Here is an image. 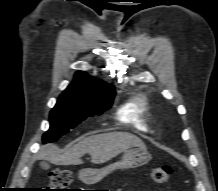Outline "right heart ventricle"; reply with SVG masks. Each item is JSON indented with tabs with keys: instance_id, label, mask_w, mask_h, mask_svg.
<instances>
[{
	"instance_id": "e07e8e85",
	"label": "right heart ventricle",
	"mask_w": 218,
	"mask_h": 191,
	"mask_svg": "<svg viewBox=\"0 0 218 191\" xmlns=\"http://www.w3.org/2000/svg\"><path fill=\"white\" fill-rule=\"evenodd\" d=\"M119 114L123 121L133 123L138 129L152 131L151 110L145 96H138L126 102Z\"/></svg>"
}]
</instances>
